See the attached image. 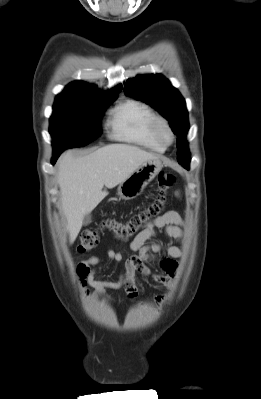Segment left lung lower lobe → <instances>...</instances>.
Listing matches in <instances>:
<instances>
[{"label":"left lung lower lobe","mask_w":261,"mask_h":399,"mask_svg":"<svg viewBox=\"0 0 261 399\" xmlns=\"http://www.w3.org/2000/svg\"><path fill=\"white\" fill-rule=\"evenodd\" d=\"M184 168L189 169V164L182 165Z\"/></svg>","instance_id":"left-lung-lower-lobe-1"}]
</instances>
